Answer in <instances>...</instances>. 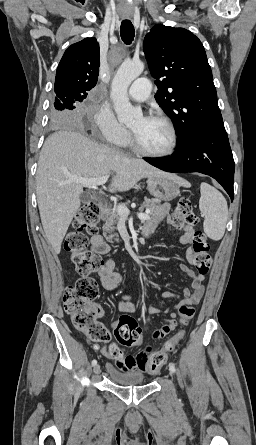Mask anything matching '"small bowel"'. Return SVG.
<instances>
[{"mask_svg": "<svg viewBox=\"0 0 256 445\" xmlns=\"http://www.w3.org/2000/svg\"><path fill=\"white\" fill-rule=\"evenodd\" d=\"M169 210V205L164 203L159 209L154 213L153 218L148 222L144 228L145 234H151L159 226V224L166 218L167 212ZM195 230L189 226L186 227L185 233L180 237V242L184 245H190L193 241ZM91 250L97 255H106L111 251L110 245L105 241L101 234H94L91 237ZM187 258L189 261L193 259V252L189 249L187 251ZM115 261L113 259H107L104 264L98 270L99 282L103 289L112 291L114 290L121 280L120 274L115 270ZM180 270L186 274L191 279L190 288H185L183 291V297L179 298V302L175 305L174 309H169L162 311L155 306L149 307V312L153 314L166 313L168 318L166 324L160 328L154 329L152 331L148 328V320L145 321L144 331L150 332L152 336L156 339L165 336L170 331H173L177 327L176 316L177 312L183 307L189 305L198 304L204 294L205 286L204 279L206 274L196 273L189 266L185 264L180 265ZM162 298L174 297L169 291H164L162 293ZM118 308L121 312L133 313L136 311L135 305L130 300L129 296L123 297L119 302ZM98 310V314L101 315L102 311ZM115 322L112 326L116 327ZM184 332L179 333V338H182ZM95 350H100L102 354L107 358H113L110 349L106 347H100L99 345L94 346ZM152 348L148 347L147 351L139 353L136 356L127 355L124 356L122 361H116V366L123 371H139L144 372L147 368V362L149 360V354Z\"/></svg>", "mask_w": 256, "mask_h": 445, "instance_id": "1", "label": "small bowel"}]
</instances>
